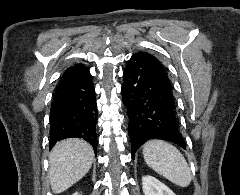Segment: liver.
Masks as SVG:
<instances>
[{"mask_svg":"<svg viewBox=\"0 0 240 195\" xmlns=\"http://www.w3.org/2000/svg\"><path fill=\"white\" fill-rule=\"evenodd\" d=\"M94 159L92 145L85 139H62L49 153L50 185L54 193H61L79 181L89 171Z\"/></svg>","mask_w":240,"mask_h":195,"instance_id":"obj_1","label":"liver"}]
</instances>
